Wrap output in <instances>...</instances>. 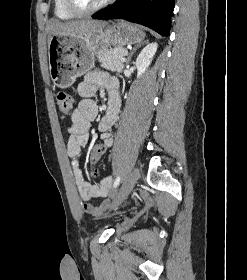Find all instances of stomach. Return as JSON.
I'll list each match as a JSON object with an SVG mask.
<instances>
[{
	"instance_id": "stomach-1",
	"label": "stomach",
	"mask_w": 247,
	"mask_h": 280,
	"mask_svg": "<svg viewBox=\"0 0 247 280\" xmlns=\"http://www.w3.org/2000/svg\"><path fill=\"white\" fill-rule=\"evenodd\" d=\"M144 38L140 27L126 21L106 25L83 36L53 35L48 53L51 79L60 88L70 87L94 66L95 57L111 46L132 45Z\"/></svg>"
}]
</instances>
